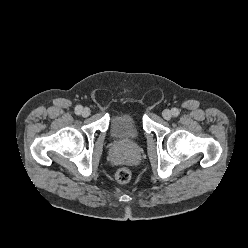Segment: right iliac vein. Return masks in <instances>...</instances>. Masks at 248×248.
<instances>
[{
    "instance_id": "63e3f726",
    "label": "right iliac vein",
    "mask_w": 248,
    "mask_h": 248,
    "mask_svg": "<svg viewBox=\"0 0 248 248\" xmlns=\"http://www.w3.org/2000/svg\"><path fill=\"white\" fill-rule=\"evenodd\" d=\"M90 113H91V111H90V109L89 108H84L83 110H82V116H84V117H87V116H89L90 115Z\"/></svg>"
}]
</instances>
